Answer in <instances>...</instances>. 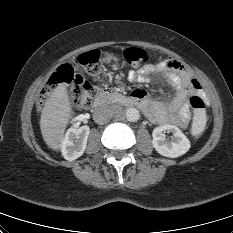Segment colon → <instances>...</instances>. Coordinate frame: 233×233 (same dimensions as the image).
Returning <instances> with one entry per match:
<instances>
[{
	"mask_svg": "<svg viewBox=\"0 0 233 233\" xmlns=\"http://www.w3.org/2000/svg\"><path fill=\"white\" fill-rule=\"evenodd\" d=\"M123 56L126 62L132 66H140L148 61V54L146 51L136 47L126 48L123 51ZM78 61L90 75L96 76L100 72L101 54L98 50L82 53ZM63 84L69 86L73 104L78 108L90 107L98 92V87L96 85L77 75L71 65L63 64L50 76L40 93L38 104L42 106L50 94L58 86ZM188 101L190 106L194 109L191 134L197 137L202 134L206 126L205 102L203 98L197 94L191 95Z\"/></svg>",
	"mask_w": 233,
	"mask_h": 233,
	"instance_id": "1",
	"label": "colon"
}]
</instances>
